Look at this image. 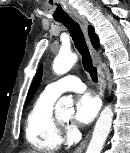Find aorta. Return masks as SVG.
Returning a JSON list of instances; mask_svg holds the SVG:
<instances>
[{
  "label": "aorta",
  "mask_w": 130,
  "mask_h": 153,
  "mask_svg": "<svg viewBox=\"0 0 130 153\" xmlns=\"http://www.w3.org/2000/svg\"><path fill=\"white\" fill-rule=\"evenodd\" d=\"M76 61V54L60 52L54 59L53 70L58 75L65 74L74 66ZM56 110L73 112V99L68 96L61 97L56 103ZM112 119L113 111L108 105L103 109L96 122L86 153H101L111 129Z\"/></svg>",
  "instance_id": "762f6f07"
}]
</instances>
